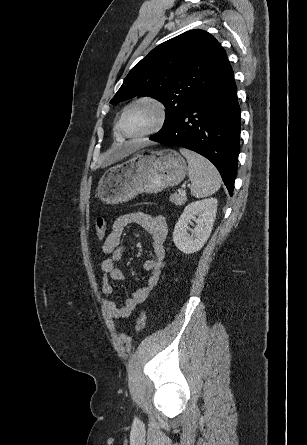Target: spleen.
Returning <instances> with one entry per match:
<instances>
[{"label":"spleen","instance_id":"1","mask_svg":"<svg viewBox=\"0 0 307 445\" xmlns=\"http://www.w3.org/2000/svg\"><path fill=\"white\" fill-rule=\"evenodd\" d=\"M181 154L187 158L188 176L192 182L191 192L196 198L210 196L221 186L222 178L214 164L188 148H180Z\"/></svg>","mask_w":307,"mask_h":445}]
</instances>
